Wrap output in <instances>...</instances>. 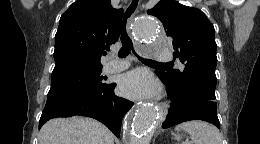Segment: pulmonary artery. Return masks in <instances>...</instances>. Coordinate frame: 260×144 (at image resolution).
Returning <instances> with one entry per match:
<instances>
[{"instance_id":"pulmonary-artery-1","label":"pulmonary artery","mask_w":260,"mask_h":144,"mask_svg":"<svg viewBox=\"0 0 260 144\" xmlns=\"http://www.w3.org/2000/svg\"><path fill=\"white\" fill-rule=\"evenodd\" d=\"M172 57V53L169 50H162L160 53L156 55V59L158 60H168ZM181 66V63H179ZM129 66V62L124 59H118V60H112L109 61L105 67L104 70L108 73H113V72H119L124 69H126Z\"/></svg>"}]
</instances>
